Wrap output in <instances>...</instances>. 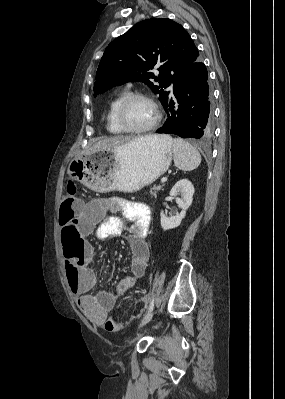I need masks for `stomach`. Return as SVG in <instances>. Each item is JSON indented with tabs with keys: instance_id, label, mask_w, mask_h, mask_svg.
Returning a JSON list of instances; mask_svg holds the SVG:
<instances>
[{
	"instance_id": "1",
	"label": "stomach",
	"mask_w": 285,
	"mask_h": 399,
	"mask_svg": "<svg viewBox=\"0 0 285 399\" xmlns=\"http://www.w3.org/2000/svg\"><path fill=\"white\" fill-rule=\"evenodd\" d=\"M172 151L166 135L135 139L115 150H94L72 159L67 175L97 192H135L169 169Z\"/></svg>"
}]
</instances>
